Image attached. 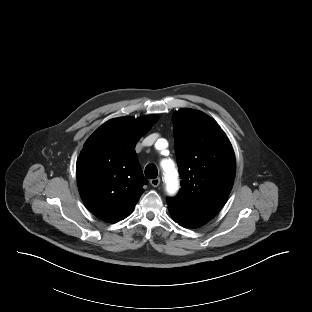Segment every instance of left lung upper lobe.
Instances as JSON below:
<instances>
[{"label": "left lung upper lobe", "instance_id": "left-lung-upper-lobe-1", "mask_svg": "<svg viewBox=\"0 0 312 312\" xmlns=\"http://www.w3.org/2000/svg\"><path fill=\"white\" fill-rule=\"evenodd\" d=\"M172 121L182 188L167 199L169 212L202 225L219 212L232 189L234 151L224 131L201 111H176Z\"/></svg>", "mask_w": 312, "mask_h": 312}]
</instances>
